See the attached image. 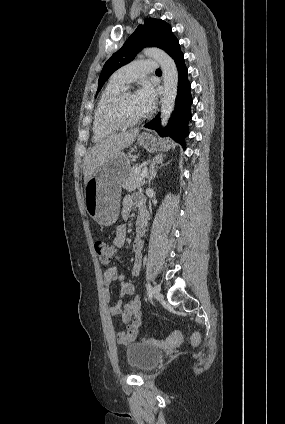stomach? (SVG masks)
I'll return each mask as SVG.
<instances>
[{
	"label": "stomach",
	"mask_w": 285,
	"mask_h": 424,
	"mask_svg": "<svg viewBox=\"0 0 285 424\" xmlns=\"http://www.w3.org/2000/svg\"><path fill=\"white\" fill-rule=\"evenodd\" d=\"M138 144L149 152L159 148L167 150L171 143L168 139L157 140L150 133H142ZM129 154L119 152L105 162L85 183V209L89 216L103 226L112 225L119 216L121 186L131 170Z\"/></svg>",
	"instance_id": "obj_1"
}]
</instances>
